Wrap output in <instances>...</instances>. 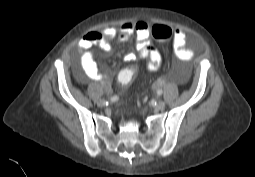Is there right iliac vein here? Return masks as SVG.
<instances>
[{
  "mask_svg": "<svg viewBox=\"0 0 255 177\" xmlns=\"http://www.w3.org/2000/svg\"><path fill=\"white\" fill-rule=\"evenodd\" d=\"M98 106H104L105 105V101L103 99H99L97 102Z\"/></svg>",
  "mask_w": 255,
  "mask_h": 177,
  "instance_id": "right-iliac-vein-1",
  "label": "right iliac vein"
}]
</instances>
